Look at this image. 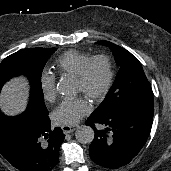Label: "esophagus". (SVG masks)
Instances as JSON below:
<instances>
[{
	"label": "esophagus",
	"mask_w": 171,
	"mask_h": 171,
	"mask_svg": "<svg viewBox=\"0 0 171 171\" xmlns=\"http://www.w3.org/2000/svg\"><path fill=\"white\" fill-rule=\"evenodd\" d=\"M61 129L65 134H68L75 131L77 129V125H63Z\"/></svg>",
	"instance_id": "esophagus-1"
}]
</instances>
